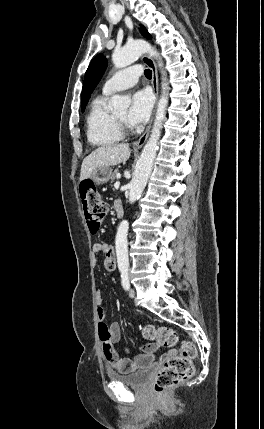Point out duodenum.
<instances>
[{
	"label": "duodenum",
	"mask_w": 264,
	"mask_h": 429,
	"mask_svg": "<svg viewBox=\"0 0 264 429\" xmlns=\"http://www.w3.org/2000/svg\"><path fill=\"white\" fill-rule=\"evenodd\" d=\"M115 211L118 217H122L124 215V209L121 203L115 205ZM115 260V256H114Z\"/></svg>",
	"instance_id": "obj_1"
}]
</instances>
